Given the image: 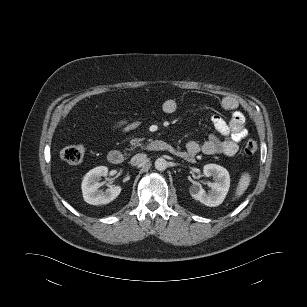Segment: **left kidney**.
<instances>
[{
	"instance_id": "1",
	"label": "left kidney",
	"mask_w": 307,
	"mask_h": 307,
	"mask_svg": "<svg viewBox=\"0 0 307 307\" xmlns=\"http://www.w3.org/2000/svg\"><path fill=\"white\" fill-rule=\"evenodd\" d=\"M203 173L215 179L210 186V192L206 193L202 187L193 185L190 187V195L206 206L216 207L224 201L229 191L230 175L224 167L217 164H206Z\"/></svg>"
}]
</instances>
